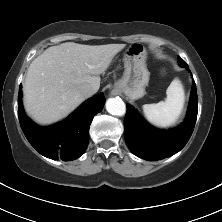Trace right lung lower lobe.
<instances>
[{"instance_id":"obj_1","label":"right lung lower lobe","mask_w":222,"mask_h":222,"mask_svg":"<svg viewBox=\"0 0 222 222\" xmlns=\"http://www.w3.org/2000/svg\"><path fill=\"white\" fill-rule=\"evenodd\" d=\"M21 98L20 86L18 117L26 138L41 155L63 161L74 160L85 152L92 119L105 103L104 95L100 94L84 102L64 121L50 127H39L25 115Z\"/></svg>"}]
</instances>
